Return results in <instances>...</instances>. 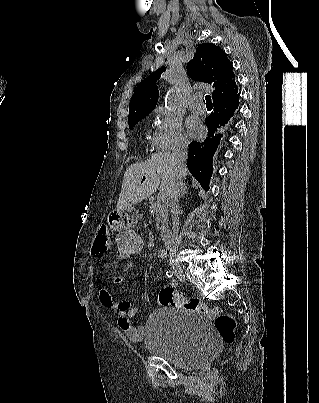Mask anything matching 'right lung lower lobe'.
<instances>
[{"label":"right lung lower lobe","mask_w":319,"mask_h":403,"mask_svg":"<svg viewBox=\"0 0 319 403\" xmlns=\"http://www.w3.org/2000/svg\"><path fill=\"white\" fill-rule=\"evenodd\" d=\"M239 94H233L214 101V112L206 119L209 137L204 142L193 141L189 144L187 167L201 186L208 190L212 176L213 155L219 145L221 134L214 133L220 126H224L238 108ZM212 136V137H210Z\"/></svg>","instance_id":"obj_1"}]
</instances>
